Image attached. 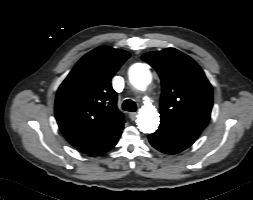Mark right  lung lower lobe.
Segmentation results:
<instances>
[{
  "instance_id": "1",
  "label": "right lung lower lobe",
  "mask_w": 253,
  "mask_h": 200,
  "mask_svg": "<svg viewBox=\"0 0 253 200\" xmlns=\"http://www.w3.org/2000/svg\"><path fill=\"white\" fill-rule=\"evenodd\" d=\"M118 139H119V138H118ZM118 139H116V140H115L112 144H110L107 148L102 149V150H99V151L95 152L94 154H92V155H90V156H99V155L104 154L105 152H107L108 150H110L111 148H113V147L116 145Z\"/></svg>"
}]
</instances>
